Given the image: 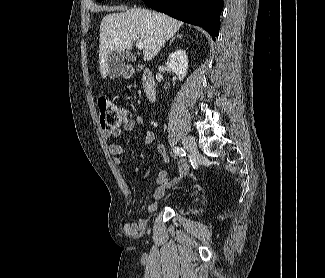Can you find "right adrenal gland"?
Returning a JSON list of instances; mask_svg holds the SVG:
<instances>
[{
	"label": "right adrenal gland",
	"instance_id": "1",
	"mask_svg": "<svg viewBox=\"0 0 325 278\" xmlns=\"http://www.w3.org/2000/svg\"><path fill=\"white\" fill-rule=\"evenodd\" d=\"M176 37H178V38H182V35H181V34H178ZM176 37H173V38L170 40V43H172Z\"/></svg>",
	"mask_w": 325,
	"mask_h": 278
}]
</instances>
